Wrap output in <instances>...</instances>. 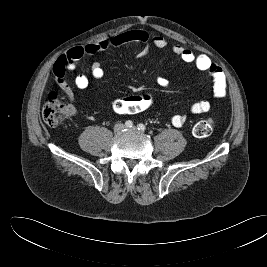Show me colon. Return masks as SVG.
I'll return each mask as SVG.
<instances>
[{"mask_svg": "<svg viewBox=\"0 0 267 267\" xmlns=\"http://www.w3.org/2000/svg\"><path fill=\"white\" fill-rule=\"evenodd\" d=\"M153 105V97L150 94L133 95L117 98L113 101V109L121 114H137L148 110ZM70 108L64 104L56 93L49 95L44 105L42 115L44 121L50 126H57L64 122L70 115ZM214 128L213 120L204 119L193 127V134L198 138L211 135Z\"/></svg>", "mask_w": 267, "mask_h": 267, "instance_id": "5ec220e1", "label": "colon"}]
</instances>
